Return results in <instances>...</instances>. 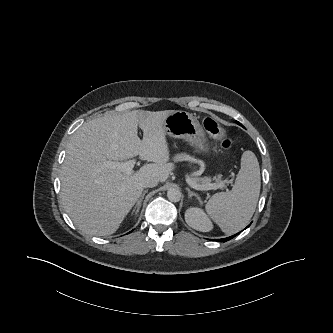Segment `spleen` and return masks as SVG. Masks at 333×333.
I'll list each match as a JSON object with an SVG mask.
<instances>
[{
  "label": "spleen",
  "instance_id": "spleen-1",
  "mask_svg": "<svg viewBox=\"0 0 333 333\" xmlns=\"http://www.w3.org/2000/svg\"><path fill=\"white\" fill-rule=\"evenodd\" d=\"M261 178L255 154L247 150L241 157V168L230 191L214 194L205 209L226 234L243 229L253 216L260 194Z\"/></svg>",
  "mask_w": 333,
  "mask_h": 333
}]
</instances>
